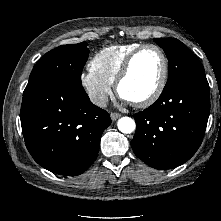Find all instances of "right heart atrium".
I'll use <instances>...</instances> for the list:
<instances>
[{"instance_id":"d8ad5b80","label":"right heart atrium","mask_w":221,"mask_h":221,"mask_svg":"<svg viewBox=\"0 0 221 221\" xmlns=\"http://www.w3.org/2000/svg\"><path fill=\"white\" fill-rule=\"evenodd\" d=\"M80 83L90 101L99 107L106 104L113 90L112 84L98 76L91 68L82 72Z\"/></svg>"}]
</instances>
